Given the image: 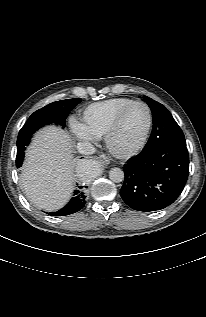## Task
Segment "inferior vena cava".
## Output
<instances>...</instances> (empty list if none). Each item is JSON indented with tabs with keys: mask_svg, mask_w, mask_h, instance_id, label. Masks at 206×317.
Here are the masks:
<instances>
[{
	"mask_svg": "<svg viewBox=\"0 0 206 317\" xmlns=\"http://www.w3.org/2000/svg\"><path fill=\"white\" fill-rule=\"evenodd\" d=\"M77 150L84 155H90L95 153V148L90 142H80L77 144Z\"/></svg>",
	"mask_w": 206,
	"mask_h": 317,
	"instance_id": "obj_1",
	"label": "inferior vena cava"
}]
</instances>
